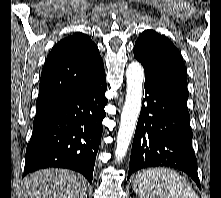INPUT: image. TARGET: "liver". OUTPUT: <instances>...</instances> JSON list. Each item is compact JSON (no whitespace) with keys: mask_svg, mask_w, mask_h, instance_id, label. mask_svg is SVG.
<instances>
[{"mask_svg":"<svg viewBox=\"0 0 221 198\" xmlns=\"http://www.w3.org/2000/svg\"><path fill=\"white\" fill-rule=\"evenodd\" d=\"M21 198H87L86 180L67 169H44L26 177Z\"/></svg>","mask_w":221,"mask_h":198,"instance_id":"obj_1","label":"liver"}]
</instances>
